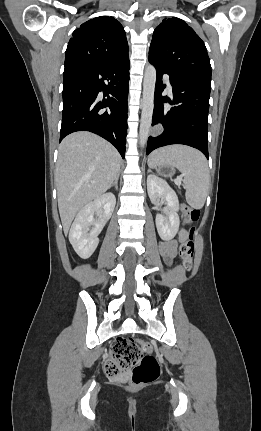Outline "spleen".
Here are the masks:
<instances>
[{
	"mask_svg": "<svg viewBox=\"0 0 261 431\" xmlns=\"http://www.w3.org/2000/svg\"><path fill=\"white\" fill-rule=\"evenodd\" d=\"M162 164L172 165L182 173L187 203L192 208L201 209L204 206L210 182L208 164L204 155L186 146L164 147L154 151L148 159V165L151 168Z\"/></svg>",
	"mask_w": 261,
	"mask_h": 431,
	"instance_id": "spleen-1",
	"label": "spleen"
}]
</instances>
